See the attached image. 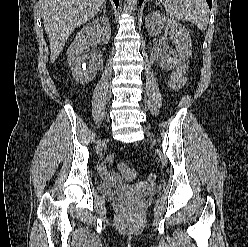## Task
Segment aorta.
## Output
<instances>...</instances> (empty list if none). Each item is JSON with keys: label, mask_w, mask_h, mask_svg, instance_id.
Returning a JSON list of instances; mask_svg holds the SVG:
<instances>
[{"label": "aorta", "mask_w": 248, "mask_h": 247, "mask_svg": "<svg viewBox=\"0 0 248 247\" xmlns=\"http://www.w3.org/2000/svg\"><path fill=\"white\" fill-rule=\"evenodd\" d=\"M127 1V5L130 9H134L135 5L137 4V0H126Z\"/></svg>", "instance_id": "aorta-1"}]
</instances>
